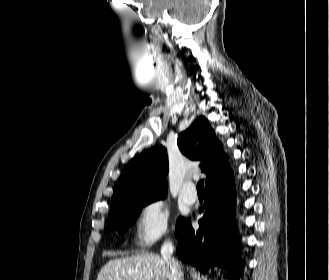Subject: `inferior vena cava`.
Instances as JSON below:
<instances>
[{"label": "inferior vena cava", "instance_id": "602c4592", "mask_svg": "<svg viewBox=\"0 0 329 280\" xmlns=\"http://www.w3.org/2000/svg\"><path fill=\"white\" fill-rule=\"evenodd\" d=\"M174 246L171 241L167 240L163 243L161 247V255L163 260L166 262L170 269L172 280H183V272L179 262L173 258Z\"/></svg>", "mask_w": 329, "mask_h": 280}]
</instances>
